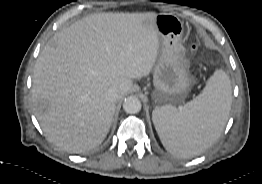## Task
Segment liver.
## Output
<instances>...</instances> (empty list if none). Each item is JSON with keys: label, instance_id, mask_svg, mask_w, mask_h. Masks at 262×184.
<instances>
[{"label": "liver", "instance_id": "liver-1", "mask_svg": "<svg viewBox=\"0 0 262 184\" xmlns=\"http://www.w3.org/2000/svg\"><path fill=\"white\" fill-rule=\"evenodd\" d=\"M154 12L89 15L56 33L40 53L33 72L35 115L61 149L84 153L106 138L115 102L132 80L146 77L160 48Z\"/></svg>", "mask_w": 262, "mask_h": 184}]
</instances>
